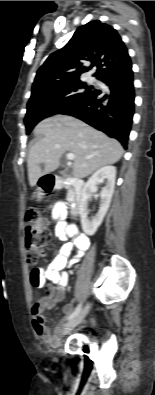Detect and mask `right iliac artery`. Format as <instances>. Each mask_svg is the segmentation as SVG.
Here are the masks:
<instances>
[{"mask_svg":"<svg viewBox=\"0 0 155 395\" xmlns=\"http://www.w3.org/2000/svg\"><path fill=\"white\" fill-rule=\"evenodd\" d=\"M81 307H82V305L79 304V305L76 307V309L69 315L68 320H71V319H73L76 315H78L79 312L81 311Z\"/></svg>","mask_w":155,"mask_h":395,"instance_id":"82829eb1","label":"right iliac artery"}]
</instances>
